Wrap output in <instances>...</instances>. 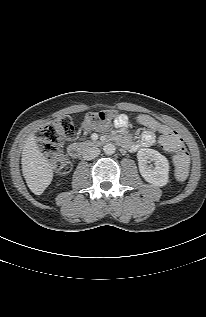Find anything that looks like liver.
<instances>
[{"instance_id":"obj_1","label":"liver","mask_w":206,"mask_h":317,"mask_svg":"<svg viewBox=\"0 0 206 317\" xmlns=\"http://www.w3.org/2000/svg\"><path fill=\"white\" fill-rule=\"evenodd\" d=\"M21 164L29 189L35 195H41L53 179V168L41 153L34 135H30L24 144Z\"/></svg>"}]
</instances>
